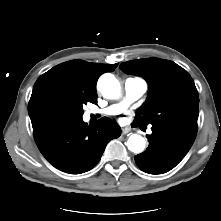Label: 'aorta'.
I'll return each mask as SVG.
<instances>
[{
    "label": "aorta",
    "instance_id": "762f6f07",
    "mask_svg": "<svg viewBox=\"0 0 221 221\" xmlns=\"http://www.w3.org/2000/svg\"><path fill=\"white\" fill-rule=\"evenodd\" d=\"M97 86L106 99L117 98L121 89L119 81L110 73L103 74L99 78ZM145 145V139L138 134H132L127 141L128 149L136 154L143 152Z\"/></svg>",
    "mask_w": 221,
    "mask_h": 221
}]
</instances>
